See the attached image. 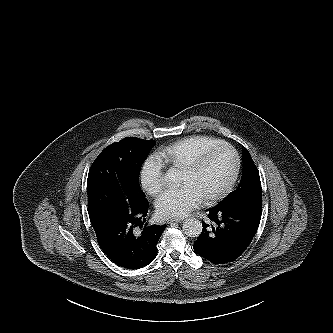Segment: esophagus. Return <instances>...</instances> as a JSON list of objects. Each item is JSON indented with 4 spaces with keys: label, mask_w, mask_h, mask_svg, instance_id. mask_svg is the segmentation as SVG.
I'll return each mask as SVG.
<instances>
[{
    "label": "esophagus",
    "mask_w": 333,
    "mask_h": 333,
    "mask_svg": "<svg viewBox=\"0 0 333 333\" xmlns=\"http://www.w3.org/2000/svg\"><path fill=\"white\" fill-rule=\"evenodd\" d=\"M183 220L182 219H175V218H172V219H169L168 220V223L169 224H172V223H181Z\"/></svg>",
    "instance_id": "obj_1"
}]
</instances>
